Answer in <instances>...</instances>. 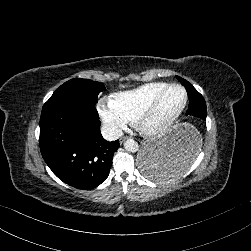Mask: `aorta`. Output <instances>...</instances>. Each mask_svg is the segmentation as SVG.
Returning <instances> with one entry per match:
<instances>
[{"label":"aorta","instance_id":"762f6f07","mask_svg":"<svg viewBox=\"0 0 251 251\" xmlns=\"http://www.w3.org/2000/svg\"><path fill=\"white\" fill-rule=\"evenodd\" d=\"M124 148L128 152H136L138 150V143L133 139H127L124 142Z\"/></svg>","mask_w":251,"mask_h":251}]
</instances>
